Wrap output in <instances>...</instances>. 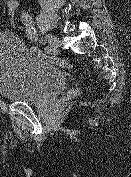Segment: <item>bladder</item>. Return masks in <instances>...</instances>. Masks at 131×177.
Returning <instances> with one entry per match:
<instances>
[{"instance_id":"31cf9c89","label":"bladder","mask_w":131,"mask_h":177,"mask_svg":"<svg viewBox=\"0 0 131 177\" xmlns=\"http://www.w3.org/2000/svg\"><path fill=\"white\" fill-rule=\"evenodd\" d=\"M67 85L65 72L35 54L17 34L0 33V97L37 104L58 96Z\"/></svg>"}]
</instances>
